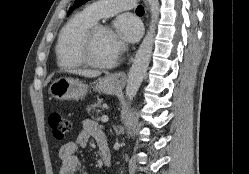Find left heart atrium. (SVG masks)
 Returning a JSON list of instances; mask_svg holds the SVG:
<instances>
[{
  "label": "left heart atrium",
  "mask_w": 249,
  "mask_h": 174,
  "mask_svg": "<svg viewBox=\"0 0 249 174\" xmlns=\"http://www.w3.org/2000/svg\"><path fill=\"white\" fill-rule=\"evenodd\" d=\"M113 33L116 41V54H118L124 42L135 41L139 37L140 28L135 20L123 18L117 22Z\"/></svg>",
  "instance_id": "left-heart-atrium-1"
}]
</instances>
